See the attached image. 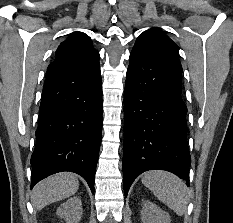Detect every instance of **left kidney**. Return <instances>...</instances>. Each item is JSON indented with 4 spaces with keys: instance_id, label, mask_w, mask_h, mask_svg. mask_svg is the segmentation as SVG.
<instances>
[{
    "instance_id": "obj_1",
    "label": "left kidney",
    "mask_w": 233,
    "mask_h": 223,
    "mask_svg": "<svg viewBox=\"0 0 233 223\" xmlns=\"http://www.w3.org/2000/svg\"><path fill=\"white\" fill-rule=\"evenodd\" d=\"M141 221L142 223H170L171 217L167 211L161 209L156 203L142 199Z\"/></svg>"
}]
</instances>
